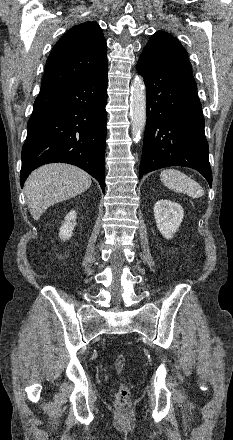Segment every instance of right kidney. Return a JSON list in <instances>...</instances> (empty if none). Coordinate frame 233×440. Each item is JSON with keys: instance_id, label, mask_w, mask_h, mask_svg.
<instances>
[{"instance_id": "obj_1", "label": "right kidney", "mask_w": 233, "mask_h": 440, "mask_svg": "<svg viewBox=\"0 0 233 440\" xmlns=\"http://www.w3.org/2000/svg\"><path fill=\"white\" fill-rule=\"evenodd\" d=\"M75 220H76V212L72 210L66 215L65 222L62 224L60 228L59 236L61 239L66 240L72 236L73 229L76 225Z\"/></svg>"}]
</instances>
